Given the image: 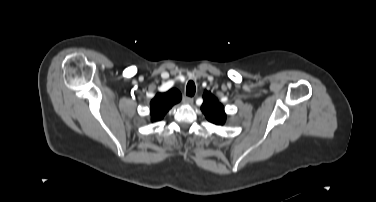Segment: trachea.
Listing matches in <instances>:
<instances>
[{
	"label": "trachea",
	"mask_w": 376,
	"mask_h": 202,
	"mask_svg": "<svg viewBox=\"0 0 376 202\" xmlns=\"http://www.w3.org/2000/svg\"><path fill=\"white\" fill-rule=\"evenodd\" d=\"M195 91H196V86H195L194 82L189 81L187 83V87H186V95L192 97V96H194Z\"/></svg>",
	"instance_id": "1"
}]
</instances>
